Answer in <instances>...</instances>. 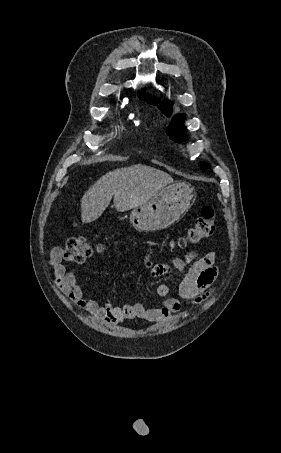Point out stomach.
<instances>
[{
  "label": "stomach",
  "instance_id": "0dacf381",
  "mask_svg": "<svg viewBox=\"0 0 281 453\" xmlns=\"http://www.w3.org/2000/svg\"><path fill=\"white\" fill-rule=\"evenodd\" d=\"M194 196V188L189 182L167 184L151 200L131 210L129 218L132 227L140 233L169 229L190 208Z\"/></svg>",
  "mask_w": 281,
  "mask_h": 453
}]
</instances>
